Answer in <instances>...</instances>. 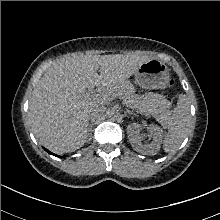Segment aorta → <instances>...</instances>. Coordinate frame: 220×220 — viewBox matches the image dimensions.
<instances>
[{
	"label": "aorta",
	"mask_w": 220,
	"mask_h": 220,
	"mask_svg": "<svg viewBox=\"0 0 220 220\" xmlns=\"http://www.w3.org/2000/svg\"><path fill=\"white\" fill-rule=\"evenodd\" d=\"M120 116V113L117 109H110L108 111V117L112 120L117 119Z\"/></svg>",
	"instance_id": "obj_1"
}]
</instances>
